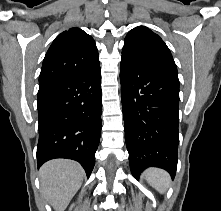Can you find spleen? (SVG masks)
I'll return each instance as SVG.
<instances>
[{"mask_svg": "<svg viewBox=\"0 0 221 211\" xmlns=\"http://www.w3.org/2000/svg\"><path fill=\"white\" fill-rule=\"evenodd\" d=\"M144 177L152 187L162 194L170 184L169 174L161 169L150 168L145 171Z\"/></svg>", "mask_w": 221, "mask_h": 211, "instance_id": "3e777b00", "label": "spleen"}]
</instances>
